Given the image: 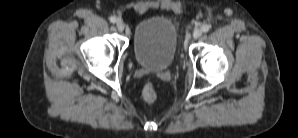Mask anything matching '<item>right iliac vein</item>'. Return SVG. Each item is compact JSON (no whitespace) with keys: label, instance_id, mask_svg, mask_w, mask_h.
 <instances>
[{"label":"right iliac vein","instance_id":"right-iliac-vein-1","mask_svg":"<svg viewBox=\"0 0 298 138\" xmlns=\"http://www.w3.org/2000/svg\"><path fill=\"white\" fill-rule=\"evenodd\" d=\"M116 27H117L118 31L122 32L125 29V24L121 20H118L116 22Z\"/></svg>","mask_w":298,"mask_h":138}]
</instances>
